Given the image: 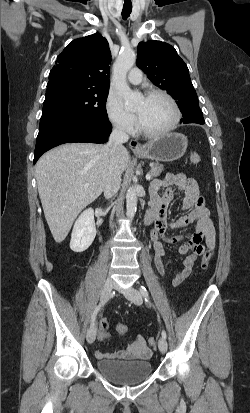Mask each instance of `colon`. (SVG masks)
Listing matches in <instances>:
<instances>
[{"label": "colon", "mask_w": 250, "mask_h": 413, "mask_svg": "<svg viewBox=\"0 0 250 413\" xmlns=\"http://www.w3.org/2000/svg\"><path fill=\"white\" fill-rule=\"evenodd\" d=\"M189 158H190L191 163H193V164H197V163L200 162V156H199V154H197L195 152L191 153ZM212 255H213V250L212 249L207 248L203 252L202 261H201V268L203 270H206L209 267ZM116 319L118 320L119 318L117 317ZM107 328H108V321L106 319H103L100 322V329L103 330V331H106ZM114 328L117 329L116 332L120 336L125 335L126 331L128 330V327L122 321H119V320L114 323ZM148 343L151 347H154L156 345V339L154 337H150L148 339Z\"/></svg>", "instance_id": "5ec220e1"}]
</instances>
